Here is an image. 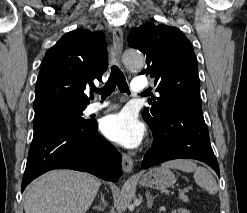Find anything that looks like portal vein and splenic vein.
Returning a JSON list of instances; mask_svg holds the SVG:
<instances>
[{
    "label": "portal vein and splenic vein",
    "instance_id": "portal-vein-and-splenic-vein-1",
    "mask_svg": "<svg viewBox=\"0 0 247 213\" xmlns=\"http://www.w3.org/2000/svg\"><path fill=\"white\" fill-rule=\"evenodd\" d=\"M184 193H185V190H182V189L179 190V195L180 196L184 195Z\"/></svg>",
    "mask_w": 247,
    "mask_h": 213
}]
</instances>
